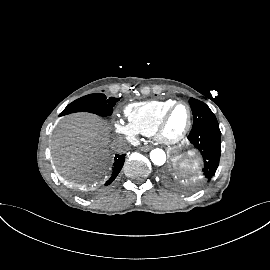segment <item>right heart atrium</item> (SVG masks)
Returning a JSON list of instances; mask_svg holds the SVG:
<instances>
[{
    "label": "right heart atrium",
    "mask_w": 270,
    "mask_h": 270,
    "mask_svg": "<svg viewBox=\"0 0 270 270\" xmlns=\"http://www.w3.org/2000/svg\"><path fill=\"white\" fill-rule=\"evenodd\" d=\"M115 128L118 133L126 136L128 139L133 140L137 136V132L128 123L123 121L115 122Z\"/></svg>",
    "instance_id": "d8ad5b80"
}]
</instances>
